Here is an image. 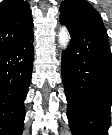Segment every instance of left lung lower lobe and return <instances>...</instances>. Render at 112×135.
I'll list each match as a JSON object with an SVG mask.
<instances>
[{
    "mask_svg": "<svg viewBox=\"0 0 112 135\" xmlns=\"http://www.w3.org/2000/svg\"><path fill=\"white\" fill-rule=\"evenodd\" d=\"M62 79L73 135H107L112 104V56L106 31L70 25Z\"/></svg>",
    "mask_w": 112,
    "mask_h": 135,
    "instance_id": "0a47b994",
    "label": "left lung lower lobe"
}]
</instances>
